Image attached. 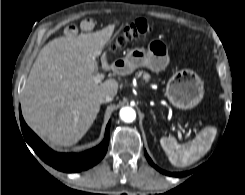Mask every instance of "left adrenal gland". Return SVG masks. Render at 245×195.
<instances>
[{
  "mask_svg": "<svg viewBox=\"0 0 245 195\" xmlns=\"http://www.w3.org/2000/svg\"><path fill=\"white\" fill-rule=\"evenodd\" d=\"M151 114L153 115L154 121H156V116L152 110H151Z\"/></svg>",
  "mask_w": 245,
  "mask_h": 195,
  "instance_id": "left-adrenal-gland-1",
  "label": "left adrenal gland"
}]
</instances>
